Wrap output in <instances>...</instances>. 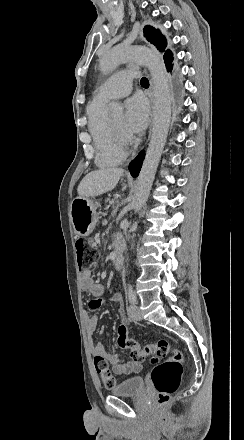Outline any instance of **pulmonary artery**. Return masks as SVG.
I'll list each match as a JSON object with an SVG mask.
<instances>
[{
    "instance_id": "1",
    "label": "pulmonary artery",
    "mask_w": 244,
    "mask_h": 440,
    "mask_svg": "<svg viewBox=\"0 0 244 440\" xmlns=\"http://www.w3.org/2000/svg\"><path fill=\"white\" fill-rule=\"evenodd\" d=\"M113 74L109 75L108 82H102V90H98L94 95L95 102H107L127 96L132 88V78H142L145 72L142 69H122L114 71Z\"/></svg>"
}]
</instances>
